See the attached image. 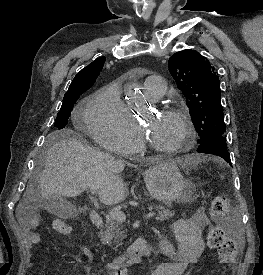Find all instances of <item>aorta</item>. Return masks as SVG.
<instances>
[{
    "mask_svg": "<svg viewBox=\"0 0 263 275\" xmlns=\"http://www.w3.org/2000/svg\"><path fill=\"white\" fill-rule=\"evenodd\" d=\"M125 95L128 101L136 100L139 98V84L136 82H130L125 86Z\"/></svg>",
    "mask_w": 263,
    "mask_h": 275,
    "instance_id": "aorta-1",
    "label": "aorta"
}]
</instances>
